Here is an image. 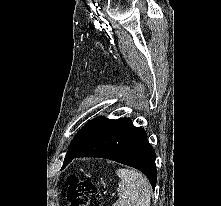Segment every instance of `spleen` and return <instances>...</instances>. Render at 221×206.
Here are the masks:
<instances>
[{"mask_svg":"<svg viewBox=\"0 0 221 206\" xmlns=\"http://www.w3.org/2000/svg\"><path fill=\"white\" fill-rule=\"evenodd\" d=\"M120 178L118 183L121 195L113 206H149L150 186L148 181L137 171L119 168L116 170Z\"/></svg>","mask_w":221,"mask_h":206,"instance_id":"spleen-1","label":"spleen"}]
</instances>
